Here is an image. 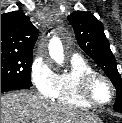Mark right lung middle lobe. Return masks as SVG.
<instances>
[{"instance_id":"obj_1","label":"right lung middle lobe","mask_w":122,"mask_h":123,"mask_svg":"<svg viewBox=\"0 0 122 123\" xmlns=\"http://www.w3.org/2000/svg\"><path fill=\"white\" fill-rule=\"evenodd\" d=\"M32 54L1 53V80L31 87Z\"/></svg>"}]
</instances>
